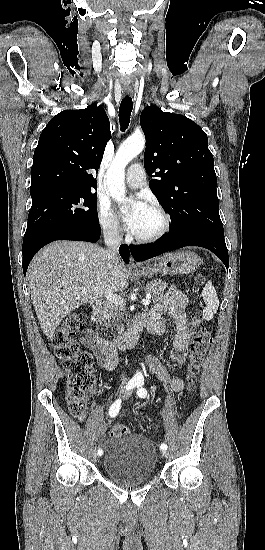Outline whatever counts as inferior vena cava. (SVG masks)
Here are the masks:
<instances>
[{
	"label": "inferior vena cava",
	"instance_id": "1",
	"mask_svg": "<svg viewBox=\"0 0 265 550\" xmlns=\"http://www.w3.org/2000/svg\"><path fill=\"white\" fill-rule=\"evenodd\" d=\"M103 237L107 247L104 251V256L108 265L112 267L118 259L116 252L122 242V236L119 234L118 226L116 224L105 225L103 227ZM123 380L125 381L126 378Z\"/></svg>",
	"mask_w": 265,
	"mask_h": 550
}]
</instances>
